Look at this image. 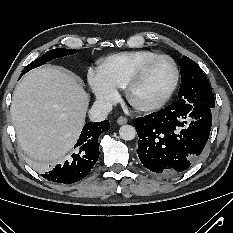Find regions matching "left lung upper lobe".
<instances>
[{
  "mask_svg": "<svg viewBox=\"0 0 233 233\" xmlns=\"http://www.w3.org/2000/svg\"><path fill=\"white\" fill-rule=\"evenodd\" d=\"M181 86L178 102L193 106H215L211 86L201 68L190 58L183 56L180 60Z\"/></svg>",
  "mask_w": 233,
  "mask_h": 233,
  "instance_id": "5c2ea615",
  "label": "left lung upper lobe"
}]
</instances>
